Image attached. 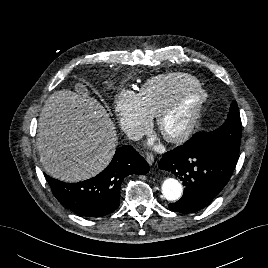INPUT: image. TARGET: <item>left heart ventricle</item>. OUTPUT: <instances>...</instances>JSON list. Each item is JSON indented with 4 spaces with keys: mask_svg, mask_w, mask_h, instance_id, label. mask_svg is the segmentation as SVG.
<instances>
[{
    "mask_svg": "<svg viewBox=\"0 0 268 268\" xmlns=\"http://www.w3.org/2000/svg\"><path fill=\"white\" fill-rule=\"evenodd\" d=\"M195 100L196 96L192 92L186 94L182 98L179 107L170 116H168L163 123V131L165 133L174 134L186 124Z\"/></svg>",
    "mask_w": 268,
    "mask_h": 268,
    "instance_id": "left-heart-ventricle-1",
    "label": "left heart ventricle"
}]
</instances>
